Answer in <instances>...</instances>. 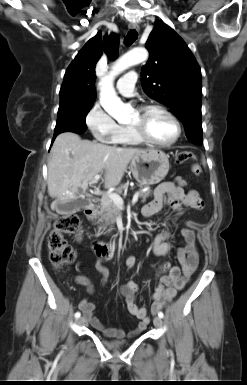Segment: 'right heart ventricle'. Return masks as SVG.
I'll list each match as a JSON object with an SVG mask.
<instances>
[{
  "mask_svg": "<svg viewBox=\"0 0 247 385\" xmlns=\"http://www.w3.org/2000/svg\"><path fill=\"white\" fill-rule=\"evenodd\" d=\"M140 142L141 141L134 135L130 127L120 126V132L118 134L116 143L126 145H138L140 144Z\"/></svg>",
  "mask_w": 247,
  "mask_h": 385,
  "instance_id": "e07e8e85",
  "label": "right heart ventricle"
}]
</instances>
